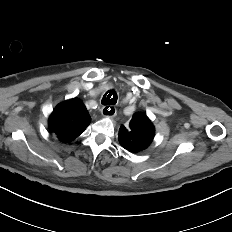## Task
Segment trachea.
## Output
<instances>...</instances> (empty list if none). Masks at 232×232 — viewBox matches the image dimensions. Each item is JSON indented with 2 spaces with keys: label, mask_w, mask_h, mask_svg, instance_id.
<instances>
[{
  "label": "trachea",
  "mask_w": 232,
  "mask_h": 232,
  "mask_svg": "<svg viewBox=\"0 0 232 232\" xmlns=\"http://www.w3.org/2000/svg\"><path fill=\"white\" fill-rule=\"evenodd\" d=\"M117 102V93L114 90L107 91L103 98L101 103L103 105H115Z\"/></svg>",
  "instance_id": "trachea-1"
}]
</instances>
